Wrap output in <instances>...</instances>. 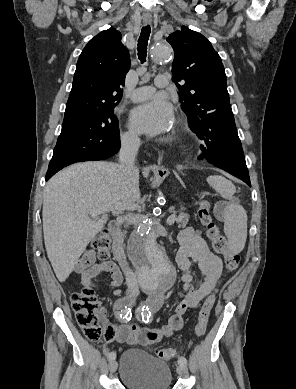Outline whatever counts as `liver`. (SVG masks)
<instances>
[{
    "mask_svg": "<svg viewBox=\"0 0 296 389\" xmlns=\"http://www.w3.org/2000/svg\"><path fill=\"white\" fill-rule=\"evenodd\" d=\"M139 198V171L126 177L115 163H77L48 181L42 210L44 242L60 282L69 277L89 242L107 223V212L93 211Z\"/></svg>",
    "mask_w": 296,
    "mask_h": 389,
    "instance_id": "liver-1",
    "label": "liver"
}]
</instances>
